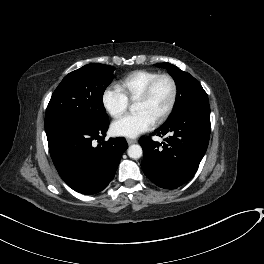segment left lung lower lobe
<instances>
[{"mask_svg": "<svg viewBox=\"0 0 264 264\" xmlns=\"http://www.w3.org/2000/svg\"><path fill=\"white\" fill-rule=\"evenodd\" d=\"M169 135L164 142L141 138V167L154 184L175 189L196 173L210 137V106L196 105L165 122L152 135Z\"/></svg>", "mask_w": 264, "mask_h": 264, "instance_id": "left-lung-lower-lobe-1", "label": "left lung lower lobe"}]
</instances>
